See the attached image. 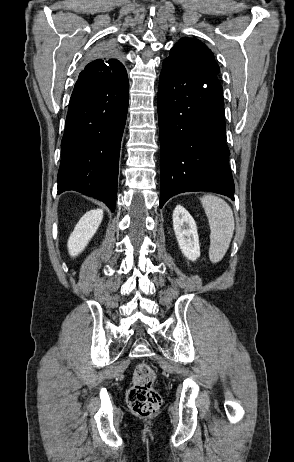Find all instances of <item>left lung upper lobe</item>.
Instances as JSON below:
<instances>
[{"mask_svg":"<svg viewBox=\"0 0 294 462\" xmlns=\"http://www.w3.org/2000/svg\"><path fill=\"white\" fill-rule=\"evenodd\" d=\"M165 60L187 66L206 75L216 76L220 72L212 51L195 38H182L174 45Z\"/></svg>","mask_w":294,"mask_h":462,"instance_id":"5c2ea615","label":"left lung upper lobe"}]
</instances>
